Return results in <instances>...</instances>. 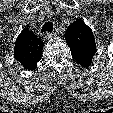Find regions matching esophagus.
<instances>
[{
	"label": "esophagus",
	"mask_w": 113,
	"mask_h": 113,
	"mask_svg": "<svg viewBox=\"0 0 113 113\" xmlns=\"http://www.w3.org/2000/svg\"><path fill=\"white\" fill-rule=\"evenodd\" d=\"M54 36H55V33L51 32V33H46V34L44 35V38H45V39H50V38H52V37H54Z\"/></svg>",
	"instance_id": "34e87169"
}]
</instances>
